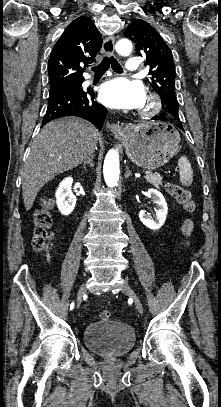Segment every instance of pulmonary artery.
Here are the masks:
<instances>
[{
  "instance_id": "1",
  "label": "pulmonary artery",
  "mask_w": 221,
  "mask_h": 407,
  "mask_svg": "<svg viewBox=\"0 0 221 407\" xmlns=\"http://www.w3.org/2000/svg\"><path fill=\"white\" fill-rule=\"evenodd\" d=\"M125 67H126V71L128 74L137 73L138 67H139L137 59L134 57L127 59V61L125 63Z\"/></svg>"
}]
</instances>
